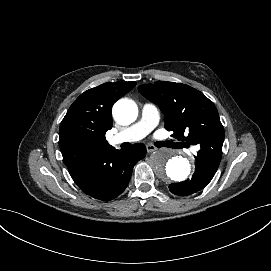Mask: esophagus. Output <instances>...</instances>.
Wrapping results in <instances>:
<instances>
[{"mask_svg": "<svg viewBox=\"0 0 271 271\" xmlns=\"http://www.w3.org/2000/svg\"><path fill=\"white\" fill-rule=\"evenodd\" d=\"M146 149L148 153L154 152L157 150V147H155L154 145L148 144L146 145Z\"/></svg>", "mask_w": 271, "mask_h": 271, "instance_id": "obj_1", "label": "esophagus"}]
</instances>
